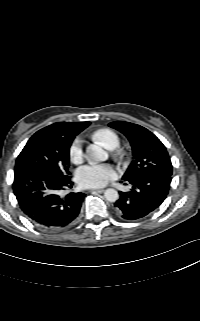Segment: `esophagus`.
Returning <instances> with one entry per match:
<instances>
[{"mask_svg":"<svg viewBox=\"0 0 200 321\" xmlns=\"http://www.w3.org/2000/svg\"><path fill=\"white\" fill-rule=\"evenodd\" d=\"M104 190L103 189H95V190H92L91 192L92 193H102Z\"/></svg>","mask_w":200,"mask_h":321,"instance_id":"1","label":"esophagus"}]
</instances>
